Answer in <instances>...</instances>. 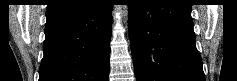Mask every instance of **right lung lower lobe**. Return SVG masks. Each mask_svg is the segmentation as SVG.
Masks as SVG:
<instances>
[{"label":"right lung lower lobe","instance_id":"right-lung-lower-lobe-1","mask_svg":"<svg viewBox=\"0 0 237 81\" xmlns=\"http://www.w3.org/2000/svg\"><path fill=\"white\" fill-rule=\"evenodd\" d=\"M111 11L108 0L47 9L39 81H108Z\"/></svg>","mask_w":237,"mask_h":81}]
</instances>
